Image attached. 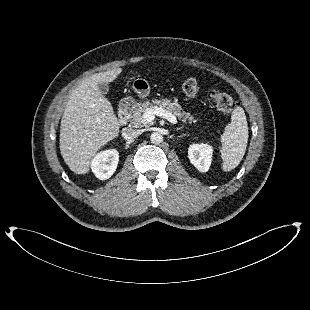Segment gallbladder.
Segmentation results:
<instances>
[{"label": "gallbladder", "mask_w": 310, "mask_h": 310, "mask_svg": "<svg viewBox=\"0 0 310 310\" xmlns=\"http://www.w3.org/2000/svg\"><path fill=\"white\" fill-rule=\"evenodd\" d=\"M99 91L105 95L109 92V86L107 83H99L98 84Z\"/></svg>", "instance_id": "bac80fb5"}]
</instances>
